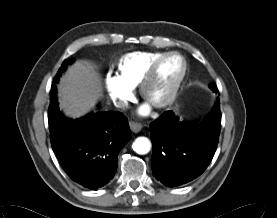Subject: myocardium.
<instances>
[{
	"mask_svg": "<svg viewBox=\"0 0 277 218\" xmlns=\"http://www.w3.org/2000/svg\"><path fill=\"white\" fill-rule=\"evenodd\" d=\"M172 56L178 57L181 60L182 67H181L180 74L177 77V79L173 82V84L171 85V87L169 88L168 92L165 94L164 97L157 99V100H152L149 97V87L152 84V82L156 76V73H157V70H158L160 64L164 60H166L167 58L172 57ZM187 69H188V64H187L185 57L176 51L166 52V53H163L162 55H160L159 57H157L150 64L143 79L140 82V85H139L140 93H141L143 99L156 108L166 107L169 104H171L174 101V99L176 98L177 92H178L181 84L183 83V80L187 73Z\"/></svg>",
	"mask_w": 277,
	"mask_h": 218,
	"instance_id": "1",
	"label": "myocardium"
}]
</instances>
